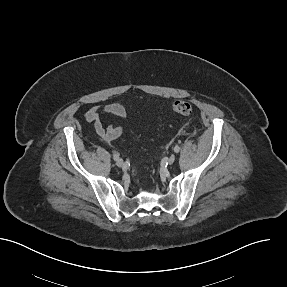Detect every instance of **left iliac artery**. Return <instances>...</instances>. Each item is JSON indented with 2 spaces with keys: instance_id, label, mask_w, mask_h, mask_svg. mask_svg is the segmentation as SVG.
Instances as JSON below:
<instances>
[{
  "instance_id": "obj_1",
  "label": "left iliac artery",
  "mask_w": 287,
  "mask_h": 287,
  "mask_svg": "<svg viewBox=\"0 0 287 287\" xmlns=\"http://www.w3.org/2000/svg\"><path fill=\"white\" fill-rule=\"evenodd\" d=\"M179 151H180V147H179L178 145H176V146L174 147V152L178 153Z\"/></svg>"
}]
</instances>
